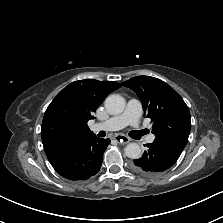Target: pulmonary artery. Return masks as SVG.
I'll list each match as a JSON object with an SVG mask.
<instances>
[{
  "label": "pulmonary artery",
  "mask_w": 223,
  "mask_h": 223,
  "mask_svg": "<svg viewBox=\"0 0 223 223\" xmlns=\"http://www.w3.org/2000/svg\"><path fill=\"white\" fill-rule=\"evenodd\" d=\"M142 114V104L137 99H130L127 103L126 109L123 113L110 117L109 119L95 123L92 125L91 129L93 131L99 130H119L127 125H132L133 127H139V121ZM147 143H153L154 136L148 135L146 137Z\"/></svg>",
  "instance_id": "e3ab8cb5"
}]
</instances>
